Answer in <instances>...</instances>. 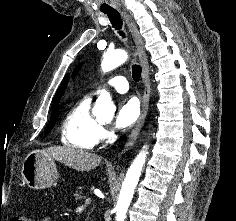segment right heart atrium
<instances>
[{
	"label": "right heart atrium",
	"mask_w": 236,
	"mask_h": 221,
	"mask_svg": "<svg viewBox=\"0 0 236 221\" xmlns=\"http://www.w3.org/2000/svg\"><path fill=\"white\" fill-rule=\"evenodd\" d=\"M109 137H110V131L106 127L100 126L98 142L99 141H104Z\"/></svg>",
	"instance_id": "obj_1"
}]
</instances>
